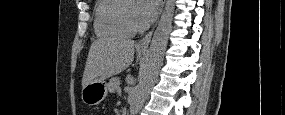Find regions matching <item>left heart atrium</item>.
<instances>
[{"mask_svg":"<svg viewBox=\"0 0 285 115\" xmlns=\"http://www.w3.org/2000/svg\"><path fill=\"white\" fill-rule=\"evenodd\" d=\"M159 6V0H139L138 21L142 26L149 24L155 18Z\"/></svg>","mask_w":285,"mask_h":115,"instance_id":"39dd6f15","label":"left heart atrium"}]
</instances>
